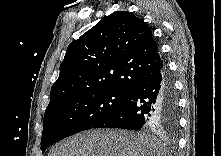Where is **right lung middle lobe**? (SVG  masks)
I'll use <instances>...</instances> for the list:
<instances>
[{"mask_svg":"<svg viewBox=\"0 0 221 156\" xmlns=\"http://www.w3.org/2000/svg\"><path fill=\"white\" fill-rule=\"evenodd\" d=\"M128 92L97 91L73 96L48 107L44 114L42 152L51 144L93 128L120 108Z\"/></svg>","mask_w":221,"mask_h":156,"instance_id":"dd1d6c3e","label":"right lung middle lobe"}]
</instances>
